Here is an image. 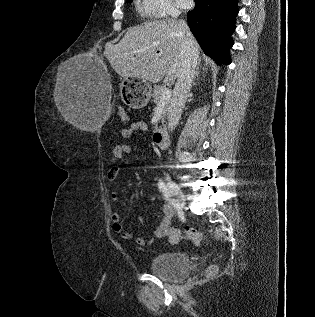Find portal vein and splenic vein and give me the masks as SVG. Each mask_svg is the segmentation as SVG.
<instances>
[{
    "label": "portal vein and splenic vein",
    "instance_id": "obj_1",
    "mask_svg": "<svg viewBox=\"0 0 315 317\" xmlns=\"http://www.w3.org/2000/svg\"><path fill=\"white\" fill-rule=\"evenodd\" d=\"M171 97V91L170 90H165L162 92V101H165V100H169Z\"/></svg>",
    "mask_w": 315,
    "mask_h": 317
}]
</instances>
